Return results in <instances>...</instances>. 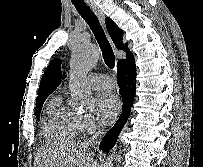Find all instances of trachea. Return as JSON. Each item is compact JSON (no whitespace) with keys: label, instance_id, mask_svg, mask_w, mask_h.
<instances>
[{"label":"trachea","instance_id":"1","mask_svg":"<svg viewBox=\"0 0 203 167\" xmlns=\"http://www.w3.org/2000/svg\"><path fill=\"white\" fill-rule=\"evenodd\" d=\"M76 10L79 12L81 17L87 22L90 29L92 30L99 46L102 51V55L104 58L105 64L108 68L114 70L115 69V55L113 49L105 35V32L102 26L99 23L98 18L93 13L91 8L87 6L85 3H74Z\"/></svg>","mask_w":203,"mask_h":167}]
</instances>
